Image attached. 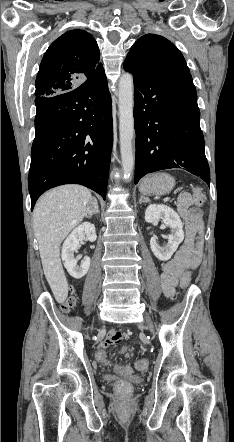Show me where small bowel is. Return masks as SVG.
<instances>
[{
  "label": "small bowel",
  "mask_w": 234,
  "mask_h": 442,
  "mask_svg": "<svg viewBox=\"0 0 234 442\" xmlns=\"http://www.w3.org/2000/svg\"><path fill=\"white\" fill-rule=\"evenodd\" d=\"M190 205L191 197L189 194H183L180 196L177 207L180 215L186 223L187 241L180 247L179 250H177L174 256L163 265L161 283L165 295L169 297L174 294V288L180 275L182 273H186L189 269H195L192 266L195 255L192 253L191 242L198 230L201 228L202 221L201 213L191 209ZM122 339L123 336L120 332L110 331L101 347L107 349L113 344L120 343ZM125 351L126 350H124V352Z\"/></svg>",
  "instance_id": "obj_1"
}]
</instances>
